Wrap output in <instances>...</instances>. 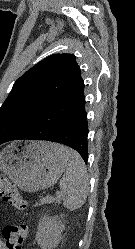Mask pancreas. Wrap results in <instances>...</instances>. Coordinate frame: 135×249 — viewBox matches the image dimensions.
<instances>
[{
  "mask_svg": "<svg viewBox=\"0 0 135 249\" xmlns=\"http://www.w3.org/2000/svg\"><path fill=\"white\" fill-rule=\"evenodd\" d=\"M52 202H54V198L47 196L45 198L40 199V202H36L35 206H40L43 204H50Z\"/></svg>",
  "mask_w": 135,
  "mask_h": 249,
  "instance_id": "pancreas-1",
  "label": "pancreas"
}]
</instances>
